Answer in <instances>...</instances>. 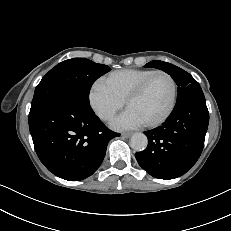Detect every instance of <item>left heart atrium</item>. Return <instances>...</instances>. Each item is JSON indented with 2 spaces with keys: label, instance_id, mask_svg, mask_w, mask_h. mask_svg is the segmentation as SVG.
<instances>
[{
  "label": "left heart atrium",
  "instance_id": "39dd6f15",
  "mask_svg": "<svg viewBox=\"0 0 231 231\" xmlns=\"http://www.w3.org/2000/svg\"><path fill=\"white\" fill-rule=\"evenodd\" d=\"M144 124V121L137 114L130 109H126L111 125L117 130H127L139 128Z\"/></svg>",
  "mask_w": 231,
  "mask_h": 231
}]
</instances>
